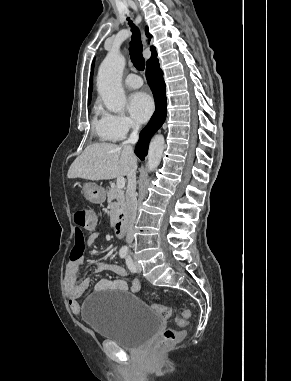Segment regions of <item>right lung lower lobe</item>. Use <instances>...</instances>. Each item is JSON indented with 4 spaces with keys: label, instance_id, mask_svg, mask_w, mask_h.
Wrapping results in <instances>:
<instances>
[{
    "label": "right lung lower lobe",
    "instance_id": "right-lung-lower-lobe-1",
    "mask_svg": "<svg viewBox=\"0 0 291 381\" xmlns=\"http://www.w3.org/2000/svg\"><path fill=\"white\" fill-rule=\"evenodd\" d=\"M146 78L155 99V112L148 125L141 131L139 142L135 148V154L144 160L148 152V145L153 134L162 126L166 118V94L163 73L158 60L147 64Z\"/></svg>",
    "mask_w": 291,
    "mask_h": 381
}]
</instances>
